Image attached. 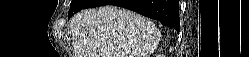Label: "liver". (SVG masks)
Returning a JSON list of instances; mask_svg holds the SVG:
<instances>
[{"instance_id":"6515ba94","label":"liver","mask_w":249,"mask_h":57,"mask_svg":"<svg viewBox=\"0 0 249 57\" xmlns=\"http://www.w3.org/2000/svg\"><path fill=\"white\" fill-rule=\"evenodd\" d=\"M71 25L77 57H150L160 41L152 21L112 5L82 10Z\"/></svg>"}]
</instances>
